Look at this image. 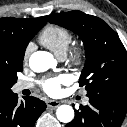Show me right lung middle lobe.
Wrapping results in <instances>:
<instances>
[{"label": "right lung middle lobe", "mask_w": 127, "mask_h": 127, "mask_svg": "<svg viewBox=\"0 0 127 127\" xmlns=\"http://www.w3.org/2000/svg\"><path fill=\"white\" fill-rule=\"evenodd\" d=\"M23 69L22 64L17 66H9L4 68L0 72V84L8 92H11L10 88L17 81V72H21Z\"/></svg>", "instance_id": "dd1d6c3e"}]
</instances>
